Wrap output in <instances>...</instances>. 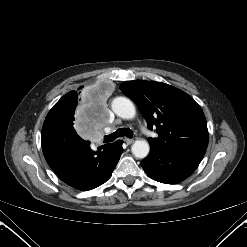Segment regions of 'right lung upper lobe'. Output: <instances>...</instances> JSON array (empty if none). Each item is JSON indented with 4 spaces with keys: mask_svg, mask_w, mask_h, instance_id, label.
Wrapping results in <instances>:
<instances>
[{
    "mask_svg": "<svg viewBox=\"0 0 247 247\" xmlns=\"http://www.w3.org/2000/svg\"><path fill=\"white\" fill-rule=\"evenodd\" d=\"M75 98H78V92H76V91H71V92L67 93L66 95H64V96L59 100V102L66 101V100H72V99H75Z\"/></svg>",
    "mask_w": 247,
    "mask_h": 247,
    "instance_id": "right-lung-upper-lobe-1",
    "label": "right lung upper lobe"
}]
</instances>
